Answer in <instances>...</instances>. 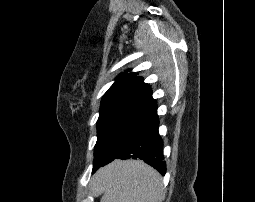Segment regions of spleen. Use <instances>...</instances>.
I'll return each instance as SVG.
<instances>
[{
  "label": "spleen",
  "mask_w": 255,
  "mask_h": 202,
  "mask_svg": "<svg viewBox=\"0 0 255 202\" xmlns=\"http://www.w3.org/2000/svg\"><path fill=\"white\" fill-rule=\"evenodd\" d=\"M103 193L100 202H160L163 193L159 173L142 161H116L96 177Z\"/></svg>",
  "instance_id": "obj_1"
}]
</instances>
